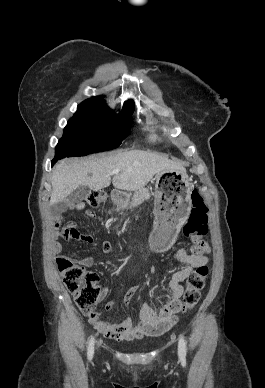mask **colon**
I'll use <instances>...</instances> for the list:
<instances>
[{
    "label": "colon",
    "instance_id": "5ec220e1",
    "mask_svg": "<svg viewBox=\"0 0 265 388\" xmlns=\"http://www.w3.org/2000/svg\"><path fill=\"white\" fill-rule=\"evenodd\" d=\"M106 200L104 190H95L87 198L92 207H99ZM192 209L183 233L193 242L191 251L195 255H205L210 247L205 237L208 232V208L201 193L197 189L191 192ZM60 237L65 240H78L82 236L74 225H66L60 232ZM104 250L109 249V244L103 245ZM57 266L67 290L73 295L79 309L89 318H96L94 311L99 297L97 286L98 276L94 272L86 271L85 268L74 261L60 257ZM208 275L206 266L197 267L187 278L186 289L181 302L180 311L192 309L199 302L201 290L205 286Z\"/></svg>",
    "mask_w": 265,
    "mask_h": 388
}]
</instances>
